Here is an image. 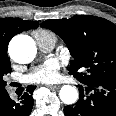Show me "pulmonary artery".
Returning a JSON list of instances; mask_svg holds the SVG:
<instances>
[{"mask_svg": "<svg viewBox=\"0 0 116 116\" xmlns=\"http://www.w3.org/2000/svg\"><path fill=\"white\" fill-rule=\"evenodd\" d=\"M36 41L39 48L44 52L51 51L56 43L54 40L37 39Z\"/></svg>", "mask_w": 116, "mask_h": 116, "instance_id": "pulmonary-artery-1", "label": "pulmonary artery"}]
</instances>
